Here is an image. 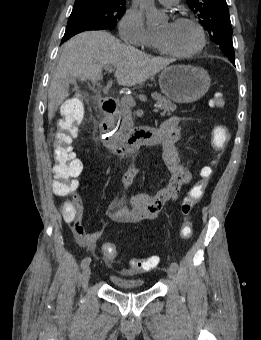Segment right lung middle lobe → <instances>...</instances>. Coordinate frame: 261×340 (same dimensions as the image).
<instances>
[{"label": "right lung middle lobe", "instance_id": "right-lung-middle-lobe-1", "mask_svg": "<svg viewBox=\"0 0 261 340\" xmlns=\"http://www.w3.org/2000/svg\"><path fill=\"white\" fill-rule=\"evenodd\" d=\"M124 13L123 2H78L74 4L68 23L84 21L97 25L101 29L112 30Z\"/></svg>", "mask_w": 261, "mask_h": 340}]
</instances>
